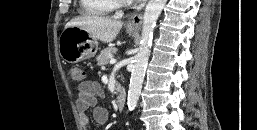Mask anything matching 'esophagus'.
<instances>
[{
	"label": "esophagus",
	"mask_w": 257,
	"mask_h": 130,
	"mask_svg": "<svg viewBox=\"0 0 257 130\" xmlns=\"http://www.w3.org/2000/svg\"><path fill=\"white\" fill-rule=\"evenodd\" d=\"M143 14H135L127 21V27L132 29H138L142 25Z\"/></svg>",
	"instance_id": "obj_1"
}]
</instances>
